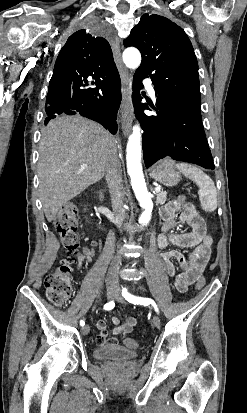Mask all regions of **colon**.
<instances>
[{
    "label": "colon",
    "mask_w": 247,
    "mask_h": 413,
    "mask_svg": "<svg viewBox=\"0 0 247 413\" xmlns=\"http://www.w3.org/2000/svg\"><path fill=\"white\" fill-rule=\"evenodd\" d=\"M177 206L183 207L188 202L186 195L177 197ZM77 208L74 204H66L57 214L54 226L62 240L65 248V262L53 269V271L44 278V289L55 306H63L68 303L72 297L73 289L71 284V263L77 254L80 235L77 232L75 223L77 221ZM205 285V278L198 277L196 284L197 290H201ZM124 345L130 349H137L138 342L132 338L123 340Z\"/></svg>",
    "instance_id": "1"
}]
</instances>
